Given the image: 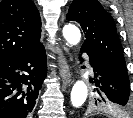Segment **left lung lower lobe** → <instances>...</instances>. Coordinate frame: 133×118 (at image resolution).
<instances>
[{"mask_svg": "<svg viewBox=\"0 0 133 118\" xmlns=\"http://www.w3.org/2000/svg\"><path fill=\"white\" fill-rule=\"evenodd\" d=\"M81 52H86L90 58V64L95 72L94 83L98 87L96 91L101 98L115 108L128 107L130 96L128 74L94 51L81 49Z\"/></svg>", "mask_w": 133, "mask_h": 118, "instance_id": "1", "label": "left lung lower lobe"}]
</instances>
